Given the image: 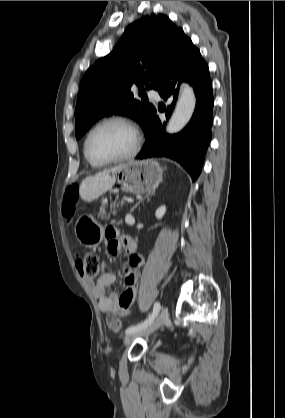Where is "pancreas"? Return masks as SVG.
Segmentation results:
<instances>
[{"label":"pancreas","instance_id":"pancreas-1","mask_svg":"<svg viewBox=\"0 0 285 418\" xmlns=\"http://www.w3.org/2000/svg\"><path fill=\"white\" fill-rule=\"evenodd\" d=\"M116 206H118V205H116V204L114 203V204H111V205H110V208H111V209H114ZM105 207H106V205H105L104 203H102V205H101V207H100V212H99V216H101L102 218H107V217H109V214H107V213H106V211H105Z\"/></svg>","mask_w":285,"mask_h":418}]
</instances>
